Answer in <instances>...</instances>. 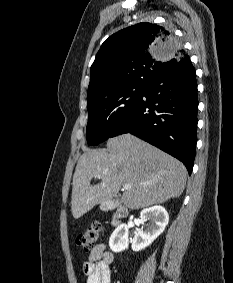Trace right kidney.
I'll list each match as a JSON object with an SVG mask.
<instances>
[{
    "label": "right kidney",
    "mask_w": 233,
    "mask_h": 283,
    "mask_svg": "<svg viewBox=\"0 0 233 283\" xmlns=\"http://www.w3.org/2000/svg\"><path fill=\"white\" fill-rule=\"evenodd\" d=\"M149 221L146 228H141L131 240L133 251H140L148 247L165 229L169 221V215L164 207L153 206L141 211L139 222L144 224ZM129 226L121 224L112 233L109 246L113 252H121L128 248Z\"/></svg>",
    "instance_id": "ca27d5eb"
}]
</instances>
